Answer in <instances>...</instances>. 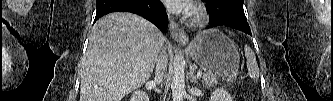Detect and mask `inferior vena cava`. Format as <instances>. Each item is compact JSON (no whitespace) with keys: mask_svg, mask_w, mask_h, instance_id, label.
<instances>
[{"mask_svg":"<svg viewBox=\"0 0 333 101\" xmlns=\"http://www.w3.org/2000/svg\"><path fill=\"white\" fill-rule=\"evenodd\" d=\"M156 62L155 82L160 83L163 79L164 71L167 68V55L165 50H161Z\"/></svg>","mask_w":333,"mask_h":101,"instance_id":"602c4592","label":"inferior vena cava"}]
</instances>
